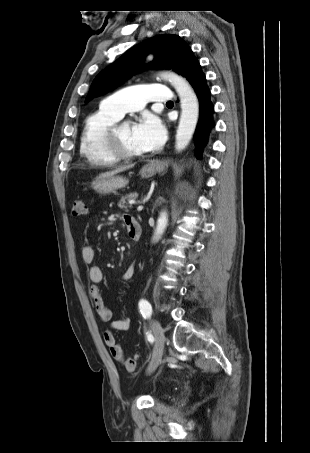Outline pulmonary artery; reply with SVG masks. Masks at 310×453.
<instances>
[{
  "label": "pulmonary artery",
  "instance_id": "obj_1",
  "mask_svg": "<svg viewBox=\"0 0 310 453\" xmlns=\"http://www.w3.org/2000/svg\"><path fill=\"white\" fill-rule=\"evenodd\" d=\"M171 98L167 86L150 84L121 89L105 98L101 105L122 117L128 112L140 111L149 101H170Z\"/></svg>",
  "mask_w": 310,
  "mask_h": 453
}]
</instances>
